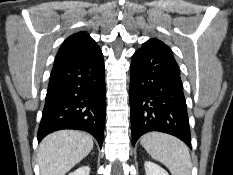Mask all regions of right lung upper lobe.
Returning a JSON list of instances; mask_svg holds the SVG:
<instances>
[{
  "mask_svg": "<svg viewBox=\"0 0 233 175\" xmlns=\"http://www.w3.org/2000/svg\"><path fill=\"white\" fill-rule=\"evenodd\" d=\"M99 50L100 48L88 33H75L69 36L59 48L53 68L87 58Z\"/></svg>",
  "mask_w": 233,
  "mask_h": 175,
  "instance_id": "cb5924a9",
  "label": "right lung upper lobe"
}]
</instances>
